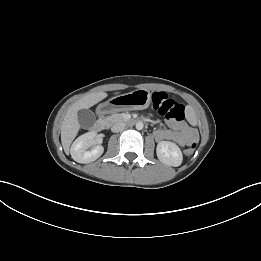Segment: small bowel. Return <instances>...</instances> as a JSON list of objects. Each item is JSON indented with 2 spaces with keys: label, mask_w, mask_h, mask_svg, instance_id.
<instances>
[{
  "label": "small bowel",
  "mask_w": 261,
  "mask_h": 261,
  "mask_svg": "<svg viewBox=\"0 0 261 261\" xmlns=\"http://www.w3.org/2000/svg\"><path fill=\"white\" fill-rule=\"evenodd\" d=\"M169 126L170 129H158L154 132V137L157 141L171 140L184 147L197 140L196 131L183 123L170 120Z\"/></svg>",
  "instance_id": "small-bowel-1"
}]
</instances>
